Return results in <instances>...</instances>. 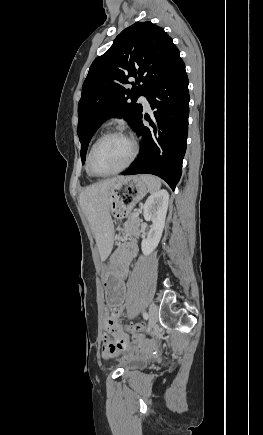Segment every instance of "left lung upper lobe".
Listing matches in <instances>:
<instances>
[{"mask_svg":"<svg viewBox=\"0 0 263 435\" xmlns=\"http://www.w3.org/2000/svg\"><path fill=\"white\" fill-rule=\"evenodd\" d=\"M163 28L147 21L124 29L109 50L97 57L83 83L78 105V136L82 163L93 134L110 117H124L133 130L142 116L139 96L147 97L180 60ZM128 79L132 89H126Z\"/></svg>","mask_w":263,"mask_h":435,"instance_id":"1","label":"left lung upper lobe"}]
</instances>
